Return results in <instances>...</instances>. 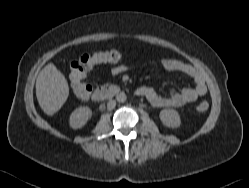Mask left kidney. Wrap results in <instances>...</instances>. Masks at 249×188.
<instances>
[{
	"label": "left kidney",
	"instance_id": "obj_1",
	"mask_svg": "<svg viewBox=\"0 0 249 188\" xmlns=\"http://www.w3.org/2000/svg\"><path fill=\"white\" fill-rule=\"evenodd\" d=\"M162 123L169 128H177L181 124L180 115L174 109H163L159 114Z\"/></svg>",
	"mask_w": 249,
	"mask_h": 188
}]
</instances>
